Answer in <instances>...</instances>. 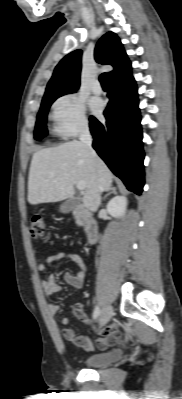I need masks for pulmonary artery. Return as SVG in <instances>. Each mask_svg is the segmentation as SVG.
I'll use <instances>...</instances> for the list:
<instances>
[{
  "label": "pulmonary artery",
  "instance_id": "e3ab8cb5",
  "mask_svg": "<svg viewBox=\"0 0 182 399\" xmlns=\"http://www.w3.org/2000/svg\"><path fill=\"white\" fill-rule=\"evenodd\" d=\"M92 91H93V93L96 94V95H100V94L102 93V87H101L99 81H95V82L93 83Z\"/></svg>",
  "mask_w": 182,
  "mask_h": 399
}]
</instances>
